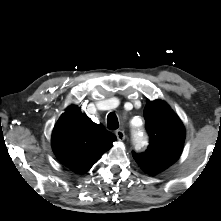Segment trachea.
Listing matches in <instances>:
<instances>
[{"label": "trachea", "mask_w": 221, "mask_h": 221, "mask_svg": "<svg viewBox=\"0 0 221 221\" xmlns=\"http://www.w3.org/2000/svg\"><path fill=\"white\" fill-rule=\"evenodd\" d=\"M107 126L110 130H116L119 127V122L116 114L111 112L107 116Z\"/></svg>", "instance_id": "obj_1"}]
</instances>
